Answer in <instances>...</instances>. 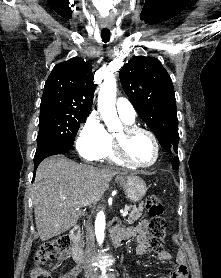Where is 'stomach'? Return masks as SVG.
<instances>
[{"label": "stomach", "mask_w": 221, "mask_h": 278, "mask_svg": "<svg viewBox=\"0 0 221 278\" xmlns=\"http://www.w3.org/2000/svg\"><path fill=\"white\" fill-rule=\"evenodd\" d=\"M116 180L123 187L128 200L133 203L139 202L147 192L146 184L139 176L121 175L117 176Z\"/></svg>", "instance_id": "0dacf381"}]
</instances>
